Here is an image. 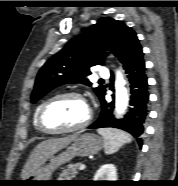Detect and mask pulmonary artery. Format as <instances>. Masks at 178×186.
<instances>
[{
    "instance_id": "pulmonary-artery-1",
    "label": "pulmonary artery",
    "mask_w": 178,
    "mask_h": 186,
    "mask_svg": "<svg viewBox=\"0 0 178 186\" xmlns=\"http://www.w3.org/2000/svg\"><path fill=\"white\" fill-rule=\"evenodd\" d=\"M98 74L102 77H108L109 72L105 66H99L98 68Z\"/></svg>"
}]
</instances>
